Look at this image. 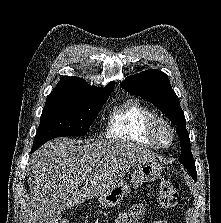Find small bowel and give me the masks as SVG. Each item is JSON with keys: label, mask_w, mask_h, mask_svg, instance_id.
Instances as JSON below:
<instances>
[{"label": "small bowel", "mask_w": 221, "mask_h": 223, "mask_svg": "<svg viewBox=\"0 0 221 223\" xmlns=\"http://www.w3.org/2000/svg\"><path fill=\"white\" fill-rule=\"evenodd\" d=\"M145 207L143 204H137L130 210L122 213L116 223H138L139 220L145 215ZM151 220V223H167L164 220Z\"/></svg>", "instance_id": "c3829d8e"}]
</instances>
